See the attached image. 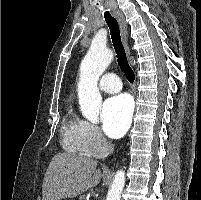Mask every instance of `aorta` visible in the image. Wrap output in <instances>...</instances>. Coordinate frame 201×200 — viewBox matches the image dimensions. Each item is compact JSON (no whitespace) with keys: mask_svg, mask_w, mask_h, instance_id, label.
I'll use <instances>...</instances> for the list:
<instances>
[{"mask_svg":"<svg viewBox=\"0 0 201 200\" xmlns=\"http://www.w3.org/2000/svg\"><path fill=\"white\" fill-rule=\"evenodd\" d=\"M113 59V53L102 43L92 42L81 62L78 83V98L83 116L92 123L98 122L102 97L98 90V80ZM125 184V172L117 171L106 200H120Z\"/></svg>","mask_w":201,"mask_h":200,"instance_id":"1","label":"aorta"}]
</instances>
